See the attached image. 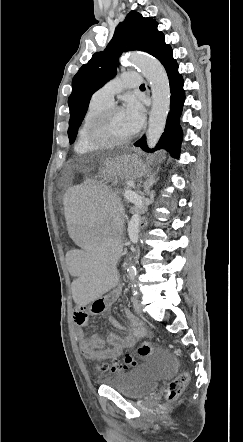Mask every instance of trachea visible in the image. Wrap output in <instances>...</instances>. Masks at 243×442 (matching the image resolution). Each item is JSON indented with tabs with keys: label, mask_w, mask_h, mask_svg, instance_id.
I'll list each match as a JSON object with an SVG mask.
<instances>
[{
	"label": "trachea",
	"mask_w": 243,
	"mask_h": 442,
	"mask_svg": "<svg viewBox=\"0 0 243 442\" xmlns=\"http://www.w3.org/2000/svg\"><path fill=\"white\" fill-rule=\"evenodd\" d=\"M140 88H145V84H142V85L140 86Z\"/></svg>",
	"instance_id": "1"
}]
</instances>
